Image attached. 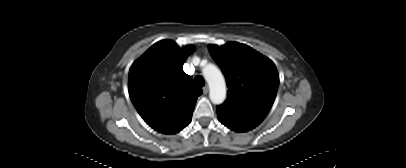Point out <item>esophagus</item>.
I'll use <instances>...</instances> for the list:
<instances>
[{"mask_svg": "<svg viewBox=\"0 0 406 168\" xmlns=\"http://www.w3.org/2000/svg\"><path fill=\"white\" fill-rule=\"evenodd\" d=\"M209 92V87L206 85L203 87V93L207 94Z\"/></svg>", "mask_w": 406, "mask_h": 168, "instance_id": "34e87169", "label": "esophagus"}]
</instances>
